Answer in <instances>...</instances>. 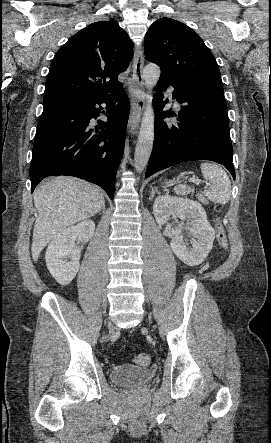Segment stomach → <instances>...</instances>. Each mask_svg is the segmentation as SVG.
<instances>
[{
  "mask_svg": "<svg viewBox=\"0 0 271 443\" xmlns=\"http://www.w3.org/2000/svg\"><path fill=\"white\" fill-rule=\"evenodd\" d=\"M172 182H166V186H163V188H169L171 186Z\"/></svg>",
  "mask_w": 271,
  "mask_h": 443,
  "instance_id": "obj_1",
  "label": "stomach"
}]
</instances>
